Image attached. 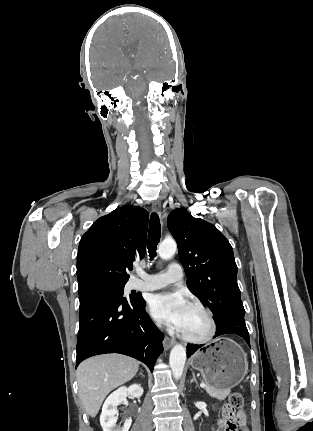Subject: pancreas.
Listing matches in <instances>:
<instances>
[{"label":"pancreas","instance_id":"obj_1","mask_svg":"<svg viewBox=\"0 0 313 431\" xmlns=\"http://www.w3.org/2000/svg\"><path fill=\"white\" fill-rule=\"evenodd\" d=\"M205 390L211 397L216 398L218 400H224L228 396V394L230 393L229 389L217 390V389H214L208 385L205 387Z\"/></svg>","mask_w":313,"mask_h":431}]
</instances>
